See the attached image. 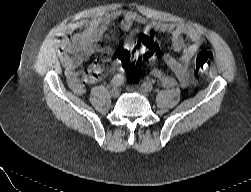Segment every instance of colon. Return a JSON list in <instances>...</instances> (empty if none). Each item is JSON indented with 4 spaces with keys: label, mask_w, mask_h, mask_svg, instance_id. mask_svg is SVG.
<instances>
[{
    "label": "colon",
    "mask_w": 251,
    "mask_h": 192,
    "mask_svg": "<svg viewBox=\"0 0 251 192\" xmlns=\"http://www.w3.org/2000/svg\"><path fill=\"white\" fill-rule=\"evenodd\" d=\"M159 48L157 37L151 33H143L131 47L123 48L118 54V64L122 70L131 69L136 63L155 57ZM211 61V53L200 50L196 54L197 70H205Z\"/></svg>",
    "instance_id": "obj_1"
}]
</instances>
